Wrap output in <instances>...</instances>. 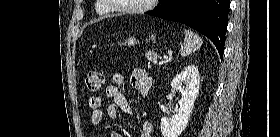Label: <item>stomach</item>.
I'll return each instance as SVG.
<instances>
[{
  "label": "stomach",
  "instance_id": "1",
  "mask_svg": "<svg viewBox=\"0 0 280 137\" xmlns=\"http://www.w3.org/2000/svg\"><path fill=\"white\" fill-rule=\"evenodd\" d=\"M149 40L155 41V40H156V35H153V34H152V35L149 37ZM137 43H139V41L136 40L135 37H129V38L124 42V44H125V45H128V46H134V45L137 44Z\"/></svg>",
  "mask_w": 280,
  "mask_h": 137
}]
</instances>
